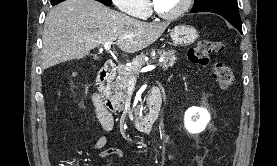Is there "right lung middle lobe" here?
Listing matches in <instances>:
<instances>
[{
	"instance_id": "1",
	"label": "right lung middle lobe",
	"mask_w": 277,
	"mask_h": 166,
	"mask_svg": "<svg viewBox=\"0 0 277 166\" xmlns=\"http://www.w3.org/2000/svg\"><path fill=\"white\" fill-rule=\"evenodd\" d=\"M101 1L102 3L106 4V5H111V0H99Z\"/></svg>"
}]
</instances>
